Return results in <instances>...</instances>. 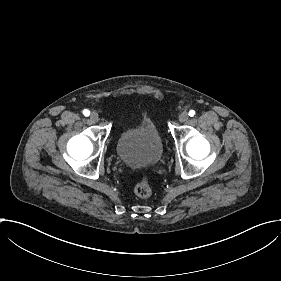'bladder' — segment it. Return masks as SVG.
Listing matches in <instances>:
<instances>
[{
  "label": "bladder",
  "instance_id": "bladder-1",
  "mask_svg": "<svg viewBox=\"0 0 281 281\" xmlns=\"http://www.w3.org/2000/svg\"><path fill=\"white\" fill-rule=\"evenodd\" d=\"M162 151L163 145L158 130L148 119L125 129L117 141L118 156L131 166H151L158 162Z\"/></svg>",
  "mask_w": 281,
  "mask_h": 281
}]
</instances>
